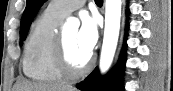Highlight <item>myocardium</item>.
Returning a JSON list of instances; mask_svg holds the SVG:
<instances>
[{
	"label": "myocardium",
	"mask_w": 173,
	"mask_h": 91,
	"mask_svg": "<svg viewBox=\"0 0 173 91\" xmlns=\"http://www.w3.org/2000/svg\"><path fill=\"white\" fill-rule=\"evenodd\" d=\"M92 63L93 58L89 57L82 67L75 68L70 60L63 33L58 34L55 47V65L64 77L70 79L79 78L89 71Z\"/></svg>",
	"instance_id": "f54148a6"
}]
</instances>
